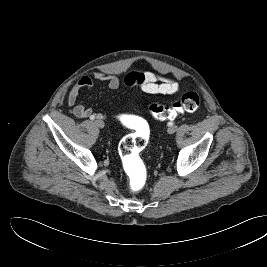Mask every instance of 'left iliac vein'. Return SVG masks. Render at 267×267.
<instances>
[{
	"mask_svg": "<svg viewBox=\"0 0 267 267\" xmlns=\"http://www.w3.org/2000/svg\"><path fill=\"white\" fill-rule=\"evenodd\" d=\"M176 130H177V126H170L168 129H167V132L169 133V134H173V133H175L176 132Z\"/></svg>",
	"mask_w": 267,
	"mask_h": 267,
	"instance_id": "left-iliac-vein-1",
	"label": "left iliac vein"
}]
</instances>
